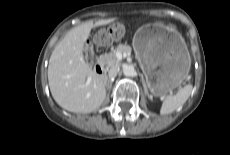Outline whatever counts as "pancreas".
<instances>
[{
	"label": "pancreas",
	"instance_id": "pancreas-1",
	"mask_svg": "<svg viewBox=\"0 0 230 155\" xmlns=\"http://www.w3.org/2000/svg\"><path fill=\"white\" fill-rule=\"evenodd\" d=\"M116 52L130 54L131 48L128 45H118L115 49H112L111 52L101 55L99 61L106 66L107 69L114 65H119L120 61L117 60Z\"/></svg>",
	"mask_w": 230,
	"mask_h": 155
}]
</instances>
